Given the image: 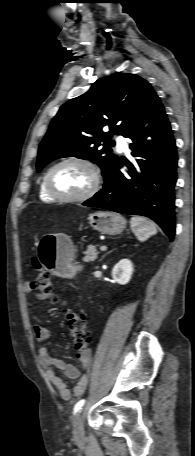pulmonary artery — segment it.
Listing matches in <instances>:
<instances>
[{"label": "pulmonary artery", "instance_id": "obj_1", "mask_svg": "<svg viewBox=\"0 0 195 456\" xmlns=\"http://www.w3.org/2000/svg\"><path fill=\"white\" fill-rule=\"evenodd\" d=\"M117 148L120 151H127V143L123 137L117 138Z\"/></svg>", "mask_w": 195, "mask_h": 456}]
</instances>
